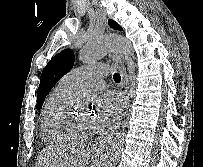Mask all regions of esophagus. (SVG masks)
Segmentation results:
<instances>
[{
    "mask_svg": "<svg viewBox=\"0 0 203 167\" xmlns=\"http://www.w3.org/2000/svg\"><path fill=\"white\" fill-rule=\"evenodd\" d=\"M111 56L121 75L120 91L123 95L124 103L122 112L118 117L117 121L115 122V124L113 125V127L111 128V130L107 134L100 137L99 140L94 145L93 151L96 153H99L104 149L107 139L114 133L115 130L119 128L129 107L128 74L124 60L122 56L118 53H113Z\"/></svg>",
    "mask_w": 203,
    "mask_h": 167,
    "instance_id": "esophagus-1",
    "label": "esophagus"
}]
</instances>
